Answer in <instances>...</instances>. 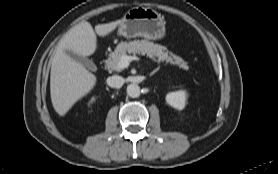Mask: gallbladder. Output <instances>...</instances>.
<instances>
[{
    "label": "gallbladder",
    "mask_w": 278,
    "mask_h": 174,
    "mask_svg": "<svg viewBox=\"0 0 278 174\" xmlns=\"http://www.w3.org/2000/svg\"><path fill=\"white\" fill-rule=\"evenodd\" d=\"M65 53L70 56L73 60L81 63L82 65L86 66L87 68L94 70L95 66L92 60H89L86 57L80 56L70 50H65Z\"/></svg>",
    "instance_id": "gallbladder-1"
}]
</instances>
